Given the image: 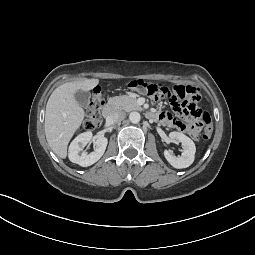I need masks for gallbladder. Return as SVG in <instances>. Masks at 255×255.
I'll list each match as a JSON object with an SVG mask.
<instances>
[{"instance_id":"1","label":"gallbladder","mask_w":255,"mask_h":255,"mask_svg":"<svg viewBox=\"0 0 255 255\" xmlns=\"http://www.w3.org/2000/svg\"><path fill=\"white\" fill-rule=\"evenodd\" d=\"M75 98H76L78 104L81 107H83V108L88 107L89 99H90V93L79 90V91L76 92Z\"/></svg>"}]
</instances>
